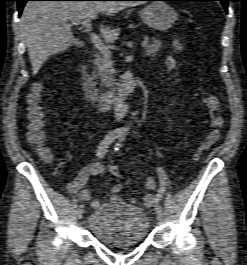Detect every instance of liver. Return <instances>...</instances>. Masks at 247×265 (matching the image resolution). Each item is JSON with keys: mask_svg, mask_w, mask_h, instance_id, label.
I'll return each instance as SVG.
<instances>
[{"mask_svg": "<svg viewBox=\"0 0 247 265\" xmlns=\"http://www.w3.org/2000/svg\"><path fill=\"white\" fill-rule=\"evenodd\" d=\"M140 5L123 1H29L21 16L20 26L25 38L33 74L51 56L66 51L73 42L69 21L94 19L98 13H115ZM102 37L113 43L119 29L101 26Z\"/></svg>", "mask_w": 247, "mask_h": 265, "instance_id": "obj_1", "label": "liver"}]
</instances>
